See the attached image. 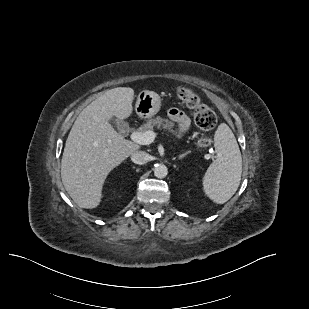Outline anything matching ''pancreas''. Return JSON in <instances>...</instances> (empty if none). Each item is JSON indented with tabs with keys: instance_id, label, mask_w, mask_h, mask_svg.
I'll return each mask as SVG.
<instances>
[{
	"instance_id": "cf45deb5",
	"label": "pancreas",
	"mask_w": 309,
	"mask_h": 309,
	"mask_svg": "<svg viewBox=\"0 0 309 309\" xmlns=\"http://www.w3.org/2000/svg\"><path fill=\"white\" fill-rule=\"evenodd\" d=\"M173 126H174L173 122L169 121L168 119H163L158 116L156 118L147 120V122L141 125L138 130L140 132H146L149 130L152 131L155 127H157L158 129L163 128L164 130L173 132L172 130Z\"/></svg>"
}]
</instances>
